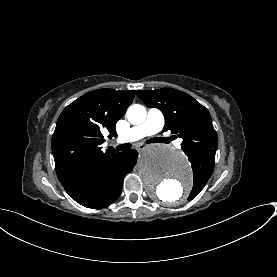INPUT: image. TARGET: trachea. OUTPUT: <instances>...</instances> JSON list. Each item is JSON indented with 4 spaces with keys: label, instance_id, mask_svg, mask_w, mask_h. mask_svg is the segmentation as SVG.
I'll return each instance as SVG.
<instances>
[{
    "label": "trachea",
    "instance_id": "3493384b",
    "mask_svg": "<svg viewBox=\"0 0 277 277\" xmlns=\"http://www.w3.org/2000/svg\"><path fill=\"white\" fill-rule=\"evenodd\" d=\"M131 148V144L126 143V144H122L116 147L117 150L119 151H125V150H129Z\"/></svg>",
    "mask_w": 277,
    "mask_h": 277
}]
</instances>
